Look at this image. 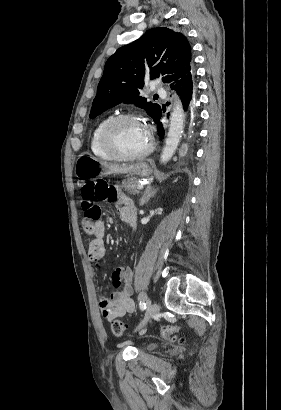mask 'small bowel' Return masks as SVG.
Segmentation results:
<instances>
[{"label": "small bowel", "instance_id": "c3829d8e", "mask_svg": "<svg viewBox=\"0 0 281 410\" xmlns=\"http://www.w3.org/2000/svg\"><path fill=\"white\" fill-rule=\"evenodd\" d=\"M117 205L119 206L121 219L132 229L137 225V210L134 202L121 194H118ZM95 238L89 244L88 257L94 268H100V259L106 254L104 237L106 226L104 221H98L94 232ZM112 286L116 289L110 296L102 295L99 306L102 314L108 320L131 315L135 305L131 299L132 271L129 267H117L112 273Z\"/></svg>", "mask_w": 281, "mask_h": 410}]
</instances>
